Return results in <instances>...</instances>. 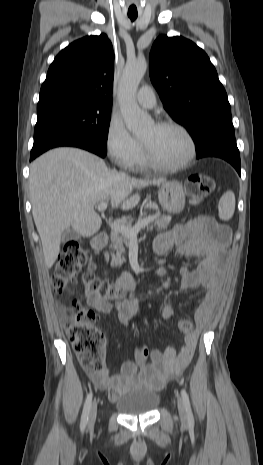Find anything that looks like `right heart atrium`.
Listing matches in <instances>:
<instances>
[{"mask_svg": "<svg viewBox=\"0 0 263 465\" xmlns=\"http://www.w3.org/2000/svg\"><path fill=\"white\" fill-rule=\"evenodd\" d=\"M105 146L110 158L124 167H132L141 151L139 141L128 132L122 119L115 115L107 126Z\"/></svg>", "mask_w": 263, "mask_h": 465, "instance_id": "d8ad5b80", "label": "right heart atrium"}]
</instances>
